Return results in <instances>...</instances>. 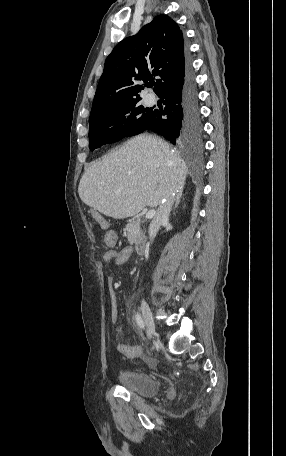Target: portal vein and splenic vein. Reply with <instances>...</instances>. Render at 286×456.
<instances>
[{
	"label": "portal vein and splenic vein",
	"instance_id": "portal-vein-and-splenic-vein-1",
	"mask_svg": "<svg viewBox=\"0 0 286 456\" xmlns=\"http://www.w3.org/2000/svg\"><path fill=\"white\" fill-rule=\"evenodd\" d=\"M155 215V210H149L146 212V218H152Z\"/></svg>",
	"mask_w": 286,
	"mask_h": 456
}]
</instances>
